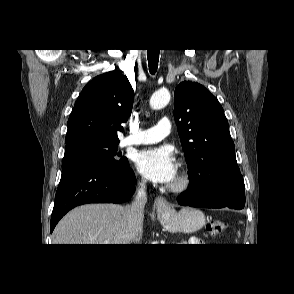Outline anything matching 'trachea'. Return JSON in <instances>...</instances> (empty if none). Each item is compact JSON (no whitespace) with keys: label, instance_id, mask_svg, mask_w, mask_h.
<instances>
[{"label":"trachea","instance_id":"1","mask_svg":"<svg viewBox=\"0 0 294 294\" xmlns=\"http://www.w3.org/2000/svg\"><path fill=\"white\" fill-rule=\"evenodd\" d=\"M147 59L150 73L155 74L158 68L159 49L147 50Z\"/></svg>","mask_w":294,"mask_h":294}]
</instances>
